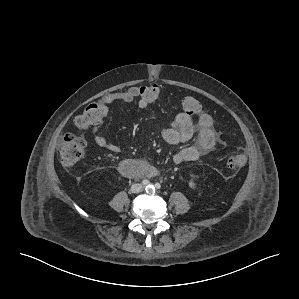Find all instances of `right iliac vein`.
Here are the masks:
<instances>
[{
  "label": "right iliac vein",
  "mask_w": 299,
  "mask_h": 299,
  "mask_svg": "<svg viewBox=\"0 0 299 299\" xmlns=\"http://www.w3.org/2000/svg\"><path fill=\"white\" fill-rule=\"evenodd\" d=\"M142 190V186L140 184H135L132 186L131 191L133 193H138Z\"/></svg>",
  "instance_id": "obj_1"
}]
</instances>
